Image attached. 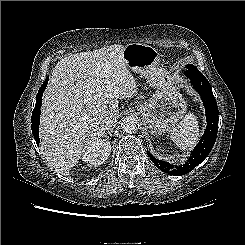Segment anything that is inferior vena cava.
<instances>
[{"label": "inferior vena cava", "instance_id": "inferior-vena-cava-1", "mask_svg": "<svg viewBox=\"0 0 245 245\" xmlns=\"http://www.w3.org/2000/svg\"><path fill=\"white\" fill-rule=\"evenodd\" d=\"M117 119L112 116H106L102 121L105 130H112L116 126Z\"/></svg>", "mask_w": 245, "mask_h": 245}]
</instances>
